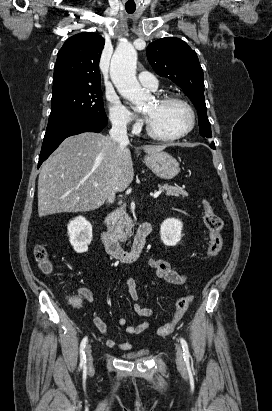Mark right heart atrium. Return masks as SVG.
I'll list each match as a JSON object with an SVG mask.
<instances>
[{
  "label": "right heart atrium",
  "mask_w": 272,
  "mask_h": 411,
  "mask_svg": "<svg viewBox=\"0 0 272 411\" xmlns=\"http://www.w3.org/2000/svg\"><path fill=\"white\" fill-rule=\"evenodd\" d=\"M109 119L112 125L119 129H127L132 125L133 116L130 111L115 97H107ZM137 124H133L136 128Z\"/></svg>",
  "instance_id": "right-heart-atrium-1"
}]
</instances>
